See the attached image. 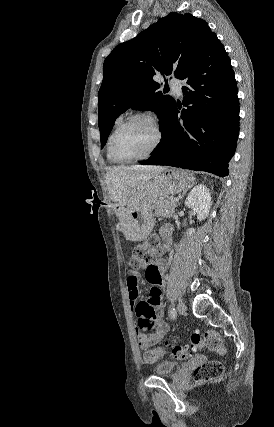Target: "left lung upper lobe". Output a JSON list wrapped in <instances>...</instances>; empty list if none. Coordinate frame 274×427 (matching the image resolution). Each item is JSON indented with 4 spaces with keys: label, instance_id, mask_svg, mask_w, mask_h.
<instances>
[{
    "label": "left lung upper lobe",
    "instance_id": "1",
    "mask_svg": "<svg viewBox=\"0 0 274 427\" xmlns=\"http://www.w3.org/2000/svg\"><path fill=\"white\" fill-rule=\"evenodd\" d=\"M216 34L189 13H169L107 56L98 92V125L104 147L115 120L128 108L154 111L162 133L174 99L158 91L154 75L181 76Z\"/></svg>",
    "mask_w": 274,
    "mask_h": 427
}]
</instances>
